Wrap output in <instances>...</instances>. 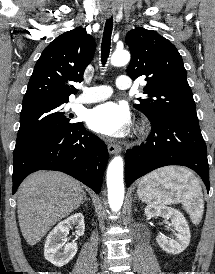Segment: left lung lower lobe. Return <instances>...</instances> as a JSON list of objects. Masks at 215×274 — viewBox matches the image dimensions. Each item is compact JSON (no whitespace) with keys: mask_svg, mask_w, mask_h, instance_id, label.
I'll use <instances>...</instances> for the list:
<instances>
[{"mask_svg":"<svg viewBox=\"0 0 215 274\" xmlns=\"http://www.w3.org/2000/svg\"><path fill=\"white\" fill-rule=\"evenodd\" d=\"M151 125L147 142L126 152V186L157 168L182 165L197 172L209 191L207 148L199 124L168 118L151 121Z\"/></svg>","mask_w":215,"mask_h":274,"instance_id":"0a47b994","label":"left lung lower lobe"}]
</instances>
